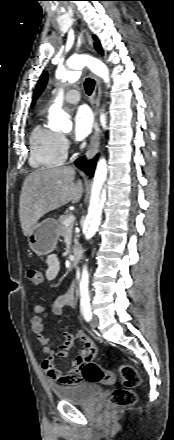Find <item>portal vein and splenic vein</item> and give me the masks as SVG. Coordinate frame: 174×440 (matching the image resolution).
Returning <instances> with one entry per match:
<instances>
[{"mask_svg":"<svg viewBox=\"0 0 174 440\" xmlns=\"http://www.w3.org/2000/svg\"><path fill=\"white\" fill-rule=\"evenodd\" d=\"M74 220H75V216L73 214H71L68 218H66L64 220V225L66 227H69V226H71L74 223Z\"/></svg>","mask_w":174,"mask_h":440,"instance_id":"portal-vein-and-splenic-vein-1","label":"portal vein and splenic vein"}]
</instances>
